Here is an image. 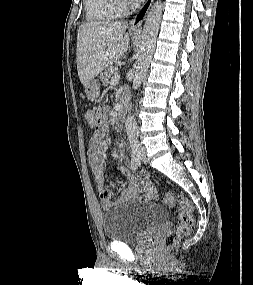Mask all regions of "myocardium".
Wrapping results in <instances>:
<instances>
[{
  "label": "myocardium",
  "instance_id": "f54148a6",
  "mask_svg": "<svg viewBox=\"0 0 253 285\" xmlns=\"http://www.w3.org/2000/svg\"><path fill=\"white\" fill-rule=\"evenodd\" d=\"M118 3L123 10H125L130 5L129 0H118Z\"/></svg>",
  "mask_w": 253,
  "mask_h": 285
}]
</instances>
